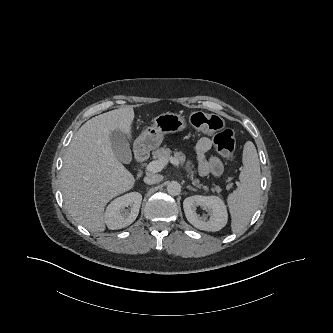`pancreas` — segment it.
I'll return each instance as SVG.
<instances>
[{"label":"pancreas","instance_id":"pancreas-1","mask_svg":"<svg viewBox=\"0 0 333 333\" xmlns=\"http://www.w3.org/2000/svg\"><path fill=\"white\" fill-rule=\"evenodd\" d=\"M171 153H172V151L169 148L162 147V148H159V149H157L156 151L153 152V157L155 159L164 160V161L168 162L170 157H171ZM174 157L179 159L182 163H185V161H186L185 160L186 157H185V154L183 152H174ZM190 164H191V162L188 161L186 163V167H185V169L188 173L187 177H189L192 180L193 185L201 187L202 185L199 184V180L193 178L194 174H195V171L192 169ZM231 188H232L231 184L227 185V187H226L227 190H229ZM203 189L208 190V187L203 186ZM212 190L219 192L221 189H220L219 186L214 185Z\"/></svg>","mask_w":333,"mask_h":333}]
</instances>
